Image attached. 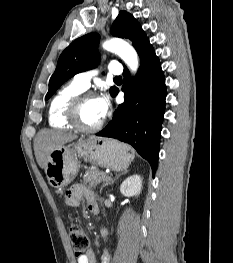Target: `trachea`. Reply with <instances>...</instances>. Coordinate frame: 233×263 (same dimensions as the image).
I'll use <instances>...</instances> for the list:
<instances>
[{
    "mask_svg": "<svg viewBox=\"0 0 233 263\" xmlns=\"http://www.w3.org/2000/svg\"><path fill=\"white\" fill-rule=\"evenodd\" d=\"M114 81H122V77H121V76L115 77V78H114Z\"/></svg>",
    "mask_w": 233,
    "mask_h": 263,
    "instance_id": "1",
    "label": "trachea"
}]
</instances>
